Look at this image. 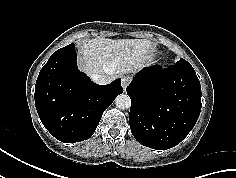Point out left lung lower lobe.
I'll use <instances>...</instances> for the list:
<instances>
[{
	"label": "left lung lower lobe",
	"mask_w": 236,
	"mask_h": 178,
	"mask_svg": "<svg viewBox=\"0 0 236 178\" xmlns=\"http://www.w3.org/2000/svg\"><path fill=\"white\" fill-rule=\"evenodd\" d=\"M126 91L131 98V132L149 148L166 150L179 144L201 111V86L189 63L146 67Z\"/></svg>",
	"instance_id": "left-lung-lower-lobe-1"
}]
</instances>
